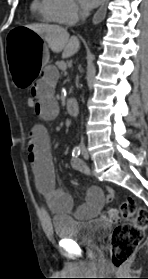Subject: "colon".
I'll return each instance as SVG.
<instances>
[{"mask_svg": "<svg viewBox=\"0 0 148 279\" xmlns=\"http://www.w3.org/2000/svg\"><path fill=\"white\" fill-rule=\"evenodd\" d=\"M26 105L35 110V96L31 94L26 100ZM101 217L115 225L110 239L111 260L114 266H122L133 256L143 240L145 229L148 227V210L128 198L117 207L104 211Z\"/></svg>", "mask_w": 148, "mask_h": 279, "instance_id": "5ec220e1", "label": "colon"}]
</instances>
